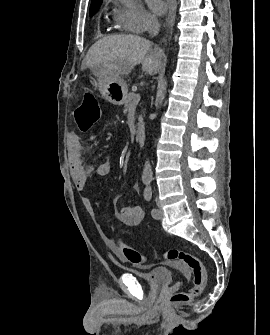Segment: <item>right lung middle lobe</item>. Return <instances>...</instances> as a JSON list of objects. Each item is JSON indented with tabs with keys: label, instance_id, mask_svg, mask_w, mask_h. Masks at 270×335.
Segmentation results:
<instances>
[{
	"label": "right lung middle lobe",
	"instance_id": "right-lung-middle-lobe-1",
	"mask_svg": "<svg viewBox=\"0 0 270 335\" xmlns=\"http://www.w3.org/2000/svg\"><path fill=\"white\" fill-rule=\"evenodd\" d=\"M100 4H101V3L94 4V5H91V6H90V11H89L90 16H92V15L95 14V12L98 10Z\"/></svg>",
	"mask_w": 270,
	"mask_h": 335
}]
</instances>
